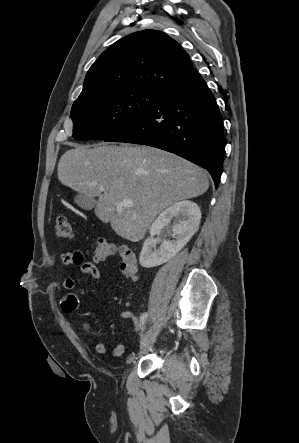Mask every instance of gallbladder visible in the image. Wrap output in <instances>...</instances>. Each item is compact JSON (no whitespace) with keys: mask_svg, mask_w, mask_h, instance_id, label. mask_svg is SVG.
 <instances>
[{"mask_svg":"<svg viewBox=\"0 0 299 443\" xmlns=\"http://www.w3.org/2000/svg\"><path fill=\"white\" fill-rule=\"evenodd\" d=\"M75 203L83 210H92L95 207L96 201L93 197L78 194L75 196Z\"/></svg>","mask_w":299,"mask_h":443,"instance_id":"1","label":"gallbladder"}]
</instances>
